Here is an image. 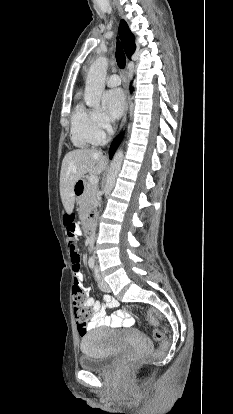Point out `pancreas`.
<instances>
[{"label": "pancreas", "mask_w": 233, "mask_h": 414, "mask_svg": "<svg viewBox=\"0 0 233 414\" xmlns=\"http://www.w3.org/2000/svg\"><path fill=\"white\" fill-rule=\"evenodd\" d=\"M79 217L86 218L91 210L98 204L97 200V185L85 183V190L79 201Z\"/></svg>", "instance_id": "1"}]
</instances>
